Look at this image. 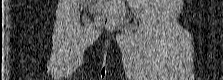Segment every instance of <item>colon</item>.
I'll return each instance as SVG.
<instances>
[{"mask_svg": "<svg viewBox=\"0 0 223 80\" xmlns=\"http://www.w3.org/2000/svg\"><path fill=\"white\" fill-rule=\"evenodd\" d=\"M99 22L101 25H104V26H112L115 24L116 21L113 17L102 16L99 18Z\"/></svg>", "mask_w": 223, "mask_h": 80, "instance_id": "colon-1", "label": "colon"}]
</instances>
